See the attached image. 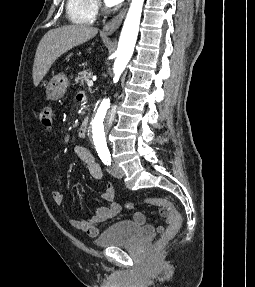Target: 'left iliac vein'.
Here are the masks:
<instances>
[{
	"mask_svg": "<svg viewBox=\"0 0 255 287\" xmlns=\"http://www.w3.org/2000/svg\"><path fill=\"white\" fill-rule=\"evenodd\" d=\"M109 172L116 178H122L124 176L123 169L117 165H112L109 168Z\"/></svg>",
	"mask_w": 255,
	"mask_h": 287,
	"instance_id": "left-iliac-vein-1",
	"label": "left iliac vein"
}]
</instances>
